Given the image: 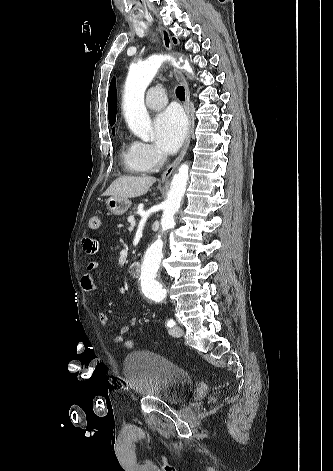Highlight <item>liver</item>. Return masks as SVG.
<instances>
[{
	"label": "liver",
	"instance_id": "obj_1",
	"mask_svg": "<svg viewBox=\"0 0 333 471\" xmlns=\"http://www.w3.org/2000/svg\"><path fill=\"white\" fill-rule=\"evenodd\" d=\"M155 181L156 178L151 176H120L111 183L103 195L118 198L142 196L147 193Z\"/></svg>",
	"mask_w": 333,
	"mask_h": 471
}]
</instances>
